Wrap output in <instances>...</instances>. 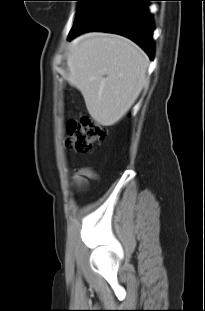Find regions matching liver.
<instances>
[{"mask_svg": "<svg viewBox=\"0 0 205 311\" xmlns=\"http://www.w3.org/2000/svg\"><path fill=\"white\" fill-rule=\"evenodd\" d=\"M147 55L129 39L87 33L69 46L67 80L83 95L93 120L103 126L120 121L147 84Z\"/></svg>", "mask_w": 205, "mask_h": 311, "instance_id": "obj_1", "label": "liver"}]
</instances>
